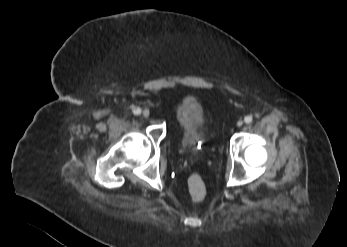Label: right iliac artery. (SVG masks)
I'll return each instance as SVG.
<instances>
[{
    "label": "right iliac artery",
    "instance_id": "right-iliac-artery-1",
    "mask_svg": "<svg viewBox=\"0 0 347 247\" xmlns=\"http://www.w3.org/2000/svg\"><path fill=\"white\" fill-rule=\"evenodd\" d=\"M134 115H139L141 113V109L139 107L133 108Z\"/></svg>",
    "mask_w": 347,
    "mask_h": 247
}]
</instances>
